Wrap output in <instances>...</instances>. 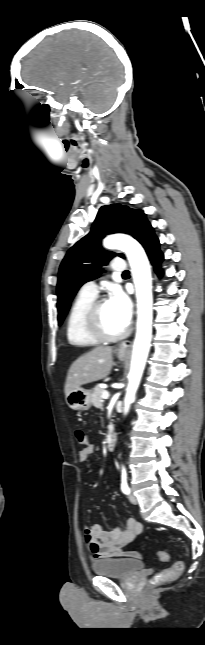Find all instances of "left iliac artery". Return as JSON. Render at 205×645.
I'll use <instances>...</instances> for the list:
<instances>
[{
	"label": "left iliac artery",
	"mask_w": 205,
	"mask_h": 645,
	"mask_svg": "<svg viewBox=\"0 0 205 645\" xmlns=\"http://www.w3.org/2000/svg\"><path fill=\"white\" fill-rule=\"evenodd\" d=\"M121 490L124 494L130 493V488L128 487V484H127V474L124 467L122 468Z\"/></svg>",
	"instance_id": "left-iliac-artery-1"
}]
</instances>
